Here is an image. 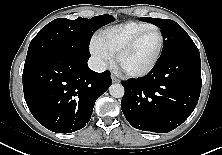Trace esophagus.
I'll return each instance as SVG.
<instances>
[{
  "instance_id": "esophagus-1",
  "label": "esophagus",
  "mask_w": 222,
  "mask_h": 155,
  "mask_svg": "<svg viewBox=\"0 0 222 155\" xmlns=\"http://www.w3.org/2000/svg\"><path fill=\"white\" fill-rule=\"evenodd\" d=\"M111 79H112L113 83H118L119 82V79L116 78L114 75H111Z\"/></svg>"
}]
</instances>
